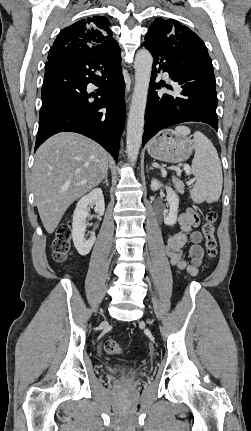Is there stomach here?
<instances>
[{
    "instance_id": "1",
    "label": "stomach",
    "mask_w": 251,
    "mask_h": 431,
    "mask_svg": "<svg viewBox=\"0 0 251 431\" xmlns=\"http://www.w3.org/2000/svg\"><path fill=\"white\" fill-rule=\"evenodd\" d=\"M193 146V141L188 137L166 129L150 141L147 150L154 159L168 163H180L190 157Z\"/></svg>"
}]
</instances>
